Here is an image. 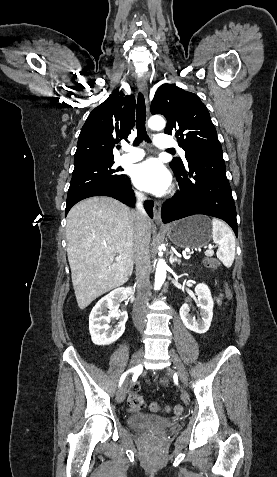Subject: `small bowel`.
Here are the masks:
<instances>
[{
    "label": "small bowel",
    "mask_w": 277,
    "mask_h": 477,
    "mask_svg": "<svg viewBox=\"0 0 277 477\" xmlns=\"http://www.w3.org/2000/svg\"><path fill=\"white\" fill-rule=\"evenodd\" d=\"M221 298H222V295L218 296V298H217V301H218V303H220V301H221ZM132 388H134V389H136V390H137V389H138V386H137V385H133V387H132Z\"/></svg>",
    "instance_id": "small-bowel-1"
}]
</instances>
